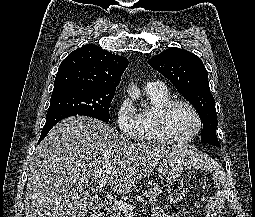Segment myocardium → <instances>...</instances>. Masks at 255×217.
Masks as SVG:
<instances>
[{
  "label": "myocardium",
  "mask_w": 255,
  "mask_h": 217,
  "mask_svg": "<svg viewBox=\"0 0 255 217\" xmlns=\"http://www.w3.org/2000/svg\"><path fill=\"white\" fill-rule=\"evenodd\" d=\"M176 105L187 106L193 112L197 120L196 130L191 136L187 138H176L170 133L168 129V115L172 108L175 107ZM155 124L157 133L161 140L176 144H185L193 141L194 139L197 138L203 127L202 117L198 109L191 102L185 99H171L164 103L156 112Z\"/></svg>",
  "instance_id": "myocardium-1"
}]
</instances>
